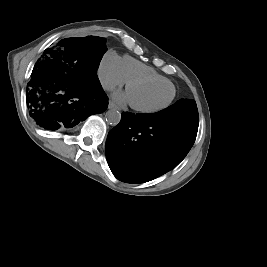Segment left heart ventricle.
Wrapping results in <instances>:
<instances>
[{
  "label": "left heart ventricle",
  "mask_w": 267,
  "mask_h": 267,
  "mask_svg": "<svg viewBox=\"0 0 267 267\" xmlns=\"http://www.w3.org/2000/svg\"><path fill=\"white\" fill-rule=\"evenodd\" d=\"M169 85L154 83L135 84L128 89L130 101L142 107H154L165 104L172 96Z\"/></svg>",
  "instance_id": "1"
}]
</instances>
